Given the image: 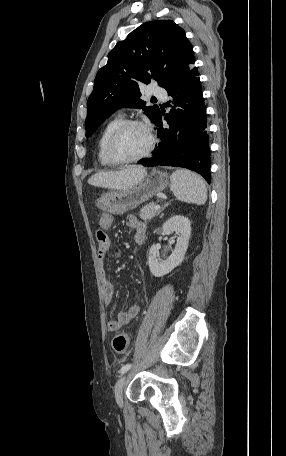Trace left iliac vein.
Returning <instances> with one entry per match:
<instances>
[{
  "label": "left iliac vein",
  "mask_w": 286,
  "mask_h": 456,
  "mask_svg": "<svg viewBox=\"0 0 286 456\" xmlns=\"http://www.w3.org/2000/svg\"><path fill=\"white\" fill-rule=\"evenodd\" d=\"M126 380H127V376L124 375V376H121L116 385H115V390H114V394H115V399H116V402L118 405H122L123 404V397H122V392H123V388H124V385L126 383Z\"/></svg>",
  "instance_id": "1"
}]
</instances>
